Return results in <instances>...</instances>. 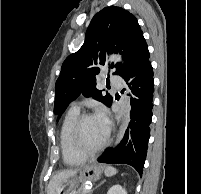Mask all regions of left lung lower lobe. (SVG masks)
<instances>
[{"mask_svg":"<svg viewBox=\"0 0 201 194\" xmlns=\"http://www.w3.org/2000/svg\"><path fill=\"white\" fill-rule=\"evenodd\" d=\"M145 39L142 40L130 66L121 76L131 89V121L120 144L107 149L98 159L102 163L128 164L142 175L152 120L154 78Z\"/></svg>","mask_w":201,"mask_h":194,"instance_id":"obj_1","label":"left lung lower lobe"}]
</instances>
